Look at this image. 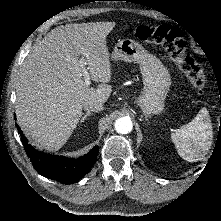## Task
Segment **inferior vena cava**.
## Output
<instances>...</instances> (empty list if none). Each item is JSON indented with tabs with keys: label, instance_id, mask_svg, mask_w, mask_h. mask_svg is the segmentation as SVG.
<instances>
[{
	"label": "inferior vena cava",
	"instance_id": "1",
	"mask_svg": "<svg viewBox=\"0 0 221 221\" xmlns=\"http://www.w3.org/2000/svg\"><path fill=\"white\" fill-rule=\"evenodd\" d=\"M86 111H102L104 109L103 103L97 100H89L84 104Z\"/></svg>",
	"mask_w": 221,
	"mask_h": 221
}]
</instances>
